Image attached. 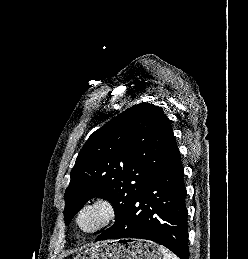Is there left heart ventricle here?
I'll return each mask as SVG.
<instances>
[{
	"label": "left heart ventricle",
	"instance_id": "b2bd125f",
	"mask_svg": "<svg viewBox=\"0 0 248 259\" xmlns=\"http://www.w3.org/2000/svg\"><path fill=\"white\" fill-rule=\"evenodd\" d=\"M103 215L104 212L100 208L89 209L81 217V226L85 229H90L100 222Z\"/></svg>",
	"mask_w": 248,
	"mask_h": 259
}]
</instances>
